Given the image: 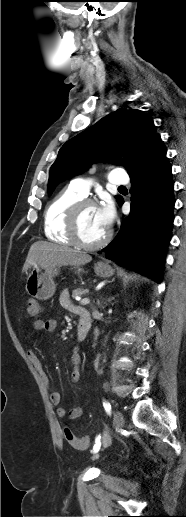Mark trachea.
<instances>
[{
  "mask_svg": "<svg viewBox=\"0 0 186 517\" xmlns=\"http://www.w3.org/2000/svg\"><path fill=\"white\" fill-rule=\"evenodd\" d=\"M118 188H126L125 186H119Z\"/></svg>",
  "mask_w": 186,
  "mask_h": 517,
  "instance_id": "trachea-1",
  "label": "trachea"
}]
</instances>
